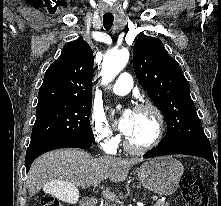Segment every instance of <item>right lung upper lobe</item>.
Segmentation results:
<instances>
[{
    "label": "right lung upper lobe",
    "instance_id": "1",
    "mask_svg": "<svg viewBox=\"0 0 221 206\" xmlns=\"http://www.w3.org/2000/svg\"><path fill=\"white\" fill-rule=\"evenodd\" d=\"M93 62V52L83 39L66 44L60 57L46 71L37 108L92 103Z\"/></svg>",
    "mask_w": 221,
    "mask_h": 206
}]
</instances>
